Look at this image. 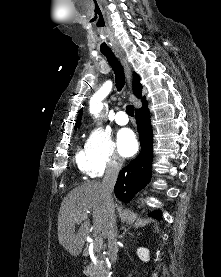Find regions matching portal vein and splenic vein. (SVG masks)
Returning a JSON list of instances; mask_svg holds the SVG:
<instances>
[{
    "label": "portal vein and splenic vein",
    "instance_id": "1",
    "mask_svg": "<svg viewBox=\"0 0 221 277\" xmlns=\"http://www.w3.org/2000/svg\"><path fill=\"white\" fill-rule=\"evenodd\" d=\"M87 217H83L77 220L78 223L82 222L83 220H85ZM103 244V239L101 235H98L95 237V241H94V245L95 247L101 248Z\"/></svg>",
    "mask_w": 221,
    "mask_h": 277
}]
</instances>
